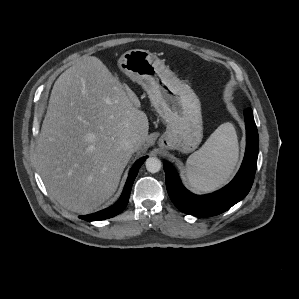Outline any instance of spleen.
<instances>
[{
    "label": "spleen",
    "mask_w": 299,
    "mask_h": 299,
    "mask_svg": "<svg viewBox=\"0 0 299 299\" xmlns=\"http://www.w3.org/2000/svg\"><path fill=\"white\" fill-rule=\"evenodd\" d=\"M238 139L232 123L221 124L186 163V176L195 191H210L230 178L238 161Z\"/></svg>",
    "instance_id": "obj_1"
}]
</instances>
